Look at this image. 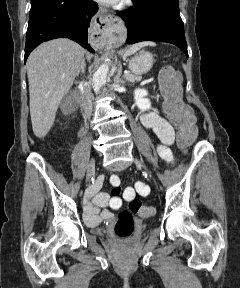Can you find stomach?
Segmentation results:
<instances>
[{
    "label": "stomach",
    "mask_w": 240,
    "mask_h": 288,
    "mask_svg": "<svg viewBox=\"0 0 240 288\" xmlns=\"http://www.w3.org/2000/svg\"><path fill=\"white\" fill-rule=\"evenodd\" d=\"M154 59L151 53L142 51L138 55L129 60V69L136 75L147 73L152 65Z\"/></svg>",
    "instance_id": "0dacf381"
}]
</instances>
